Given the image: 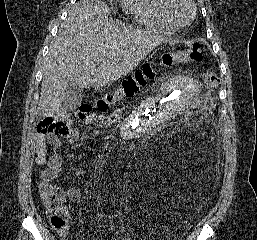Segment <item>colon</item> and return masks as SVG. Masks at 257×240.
Masks as SVG:
<instances>
[{"label":"colon","mask_w":257,"mask_h":240,"mask_svg":"<svg viewBox=\"0 0 257 240\" xmlns=\"http://www.w3.org/2000/svg\"><path fill=\"white\" fill-rule=\"evenodd\" d=\"M203 57L201 44L182 51H169L164 53L156 64H147L141 70L122 81L120 89L99 97L94 107L103 111L112 107L118 100L135 95L141 88L156 78L159 68H169L184 61L198 62ZM204 81L208 88L217 89L220 85L219 77L212 71L204 74ZM78 118L82 122L94 119L91 105H82L78 110ZM64 124L50 117L42 119L37 127L40 133H59L64 129ZM66 193L60 188L53 187L42 193V199L47 209L48 219L56 230L67 229V214L64 207Z\"/></svg>","instance_id":"colon-1"}]
</instances>
